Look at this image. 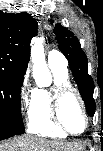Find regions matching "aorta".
I'll use <instances>...</instances> for the list:
<instances>
[{
  "instance_id": "aorta-1",
  "label": "aorta",
  "mask_w": 103,
  "mask_h": 151,
  "mask_svg": "<svg viewBox=\"0 0 103 151\" xmlns=\"http://www.w3.org/2000/svg\"><path fill=\"white\" fill-rule=\"evenodd\" d=\"M31 61L33 63V75L36 81L42 77H49L50 73L45 60V53L42 41L34 39L31 42Z\"/></svg>"
}]
</instances>
